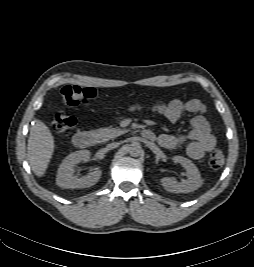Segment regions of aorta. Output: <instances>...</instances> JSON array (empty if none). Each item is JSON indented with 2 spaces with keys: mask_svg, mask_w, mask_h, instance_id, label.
<instances>
[{
  "mask_svg": "<svg viewBox=\"0 0 254 267\" xmlns=\"http://www.w3.org/2000/svg\"><path fill=\"white\" fill-rule=\"evenodd\" d=\"M128 152L133 157H138L142 153V147L139 142H133L128 145Z\"/></svg>",
  "mask_w": 254,
  "mask_h": 267,
  "instance_id": "aorta-1",
  "label": "aorta"
}]
</instances>
